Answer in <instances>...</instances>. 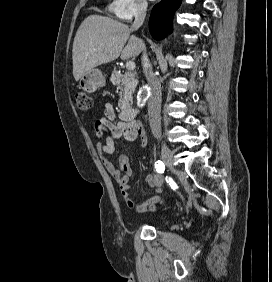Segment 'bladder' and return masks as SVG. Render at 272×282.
<instances>
[{
  "mask_svg": "<svg viewBox=\"0 0 272 282\" xmlns=\"http://www.w3.org/2000/svg\"><path fill=\"white\" fill-rule=\"evenodd\" d=\"M163 223H167V220H165Z\"/></svg>",
  "mask_w": 272,
  "mask_h": 282,
  "instance_id": "31cf9c89",
  "label": "bladder"
}]
</instances>
